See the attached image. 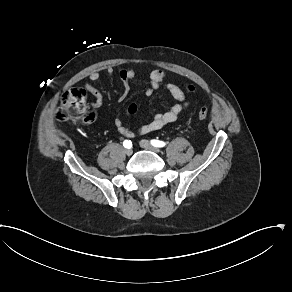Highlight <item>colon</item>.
<instances>
[{
  "label": "colon",
  "mask_w": 292,
  "mask_h": 292,
  "mask_svg": "<svg viewBox=\"0 0 292 292\" xmlns=\"http://www.w3.org/2000/svg\"><path fill=\"white\" fill-rule=\"evenodd\" d=\"M184 92H191L197 94L199 87L197 85H191L190 83H184L182 85ZM138 106L135 103H131L127 106V113L134 115L137 112ZM96 114V110L88 106L87 91L80 87H75L67 90L62 96V102L57 107L55 115L56 118L62 122H69L77 117L88 120ZM209 115V108L202 106L198 111V117L204 120Z\"/></svg>",
  "instance_id": "colon-1"
}]
</instances>
